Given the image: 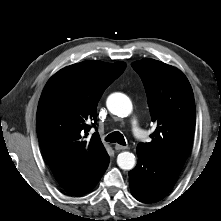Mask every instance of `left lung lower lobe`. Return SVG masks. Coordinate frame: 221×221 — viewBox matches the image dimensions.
Returning a JSON list of instances; mask_svg holds the SVG:
<instances>
[{"mask_svg":"<svg viewBox=\"0 0 221 221\" xmlns=\"http://www.w3.org/2000/svg\"><path fill=\"white\" fill-rule=\"evenodd\" d=\"M137 155V166L129 172L132 195L143 203L157 202L172 190L181 169L140 149Z\"/></svg>","mask_w":221,"mask_h":221,"instance_id":"1","label":"left lung lower lobe"}]
</instances>
